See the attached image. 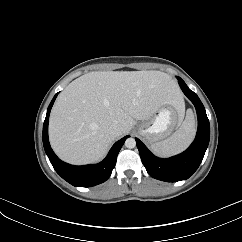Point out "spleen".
Here are the masks:
<instances>
[{
  "instance_id": "spleen-1",
  "label": "spleen",
  "mask_w": 242,
  "mask_h": 242,
  "mask_svg": "<svg viewBox=\"0 0 242 242\" xmlns=\"http://www.w3.org/2000/svg\"><path fill=\"white\" fill-rule=\"evenodd\" d=\"M196 125L192 113L186 115L181 126L167 139L151 145L152 150L161 156H171L184 151L192 142Z\"/></svg>"
}]
</instances>
